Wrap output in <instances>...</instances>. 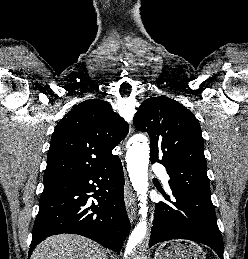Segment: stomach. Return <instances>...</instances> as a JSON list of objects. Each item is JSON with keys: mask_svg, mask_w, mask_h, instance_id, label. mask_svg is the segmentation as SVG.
I'll list each match as a JSON object with an SVG mask.
<instances>
[{"mask_svg": "<svg viewBox=\"0 0 248 259\" xmlns=\"http://www.w3.org/2000/svg\"><path fill=\"white\" fill-rule=\"evenodd\" d=\"M154 259H205V253L198 244L179 239L160 245Z\"/></svg>", "mask_w": 248, "mask_h": 259, "instance_id": "0dacf381", "label": "stomach"}]
</instances>
